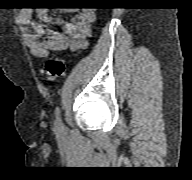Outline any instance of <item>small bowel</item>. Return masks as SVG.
<instances>
[{"label": "small bowel", "instance_id": "obj_1", "mask_svg": "<svg viewBox=\"0 0 192 180\" xmlns=\"http://www.w3.org/2000/svg\"><path fill=\"white\" fill-rule=\"evenodd\" d=\"M37 14L39 21H33L30 9H23L19 13L26 44L34 56L44 58L56 51L87 47L95 20L92 10H82L68 21L54 19L45 8L39 9ZM45 24L63 25L64 31L47 28Z\"/></svg>", "mask_w": 192, "mask_h": 180}]
</instances>
